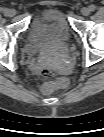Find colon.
Here are the masks:
<instances>
[{"instance_id": "1", "label": "colon", "mask_w": 104, "mask_h": 137, "mask_svg": "<svg viewBox=\"0 0 104 137\" xmlns=\"http://www.w3.org/2000/svg\"><path fill=\"white\" fill-rule=\"evenodd\" d=\"M51 72L49 69L45 68L43 69V74L44 75H49ZM60 87V83L59 82H51L48 83L46 85L43 86L42 91L45 94H50L53 91L57 90Z\"/></svg>"}]
</instances>
